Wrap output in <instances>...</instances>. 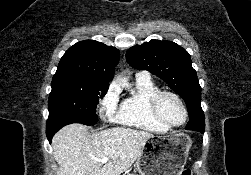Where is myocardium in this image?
Returning a JSON list of instances; mask_svg holds the SVG:
<instances>
[{
	"label": "myocardium",
	"instance_id": "myocardium-1",
	"mask_svg": "<svg viewBox=\"0 0 251 175\" xmlns=\"http://www.w3.org/2000/svg\"><path fill=\"white\" fill-rule=\"evenodd\" d=\"M164 95H172L182 104V106L184 108V111H185V120L181 125L173 126V125L169 124L161 116V114L159 112V102H160V99ZM148 106H149V111H150L151 115L155 118V120L159 124H161L162 126H164L166 129H168L170 131H175V130L184 128L187 125L188 121H189V117H190L189 108H188L187 104L185 103L184 99L182 98V96L179 93L175 92V91H172V90H158L149 99Z\"/></svg>",
	"mask_w": 251,
	"mask_h": 175
}]
</instances>
